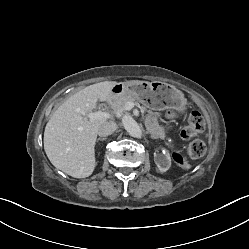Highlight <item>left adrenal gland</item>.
<instances>
[{
  "label": "left adrenal gland",
  "mask_w": 249,
  "mask_h": 249,
  "mask_svg": "<svg viewBox=\"0 0 249 249\" xmlns=\"http://www.w3.org/2000/svg\"><path fill=\"white\" fill-rule=\"evenodd\" d=\"M150 137H151L152 139H157V137H155V136H153V135H151Z\"/></svg>",
  "instance_id": "obj_1"
}]
</instances>
